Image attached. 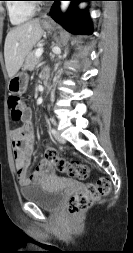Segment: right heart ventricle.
<instances>
[{"mask_svg": "<svg viewBox=\"0 0 133 253\" xmlns=\"http://www.w3.org/2000/svg\"><path fill=\"white\" fill-rule=\"evenodd\" d=\"M10 22L20 25L33 17L35 8L24 0H11L7 3Z\"/></svg>", "mask_w": 133, "mask_h": 253, "instance_id": "right-heart-ventricle-1", "label": "right heart ventricle"}]
</instances>
